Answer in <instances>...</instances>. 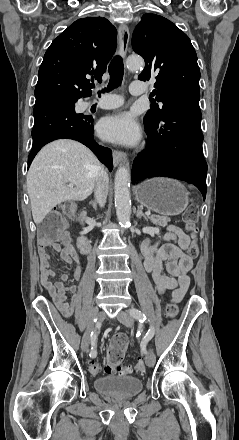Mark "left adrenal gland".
Segmentation results:
<instances>
[{
	"instance_id": "a2214340",
	"label": "left adrenal gland",
	"mask_w": 239,
	"mask_h": 440,
	"mask_svg": "<svg viewBox=\"0 0 239 440\" xmlns=\"http://www.w3.org/2000/svg\"><path fill=\"white\" fill-rule=\"evenodd\" d=\"M136 216H137V218H144V220H146V222H148L147 216H145V214H143V212H142V210H140V208H138Z\"/></svg>"
}]
</instances>
